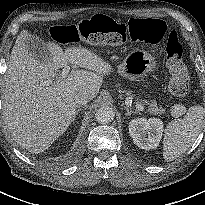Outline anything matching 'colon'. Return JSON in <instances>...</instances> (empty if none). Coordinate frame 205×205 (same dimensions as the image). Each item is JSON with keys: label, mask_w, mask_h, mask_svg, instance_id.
<instances>
[{"label": "colon", "mask_w": 205, "mask_h": 205, "mask_svg": "<svg viewBox=\"0 0 205 205\" xmlns=\"http://www.w3.org/2000/svg\"><path fill=\"white\" fill-rule=\"evenodd\" d=\"M165 30L164 22L158 18H132L125 26L104 14H95L77 25L55 24L49 28V34L56 42L64 45L85 42L118 47L128 41L157 44L163 39ZM166 61L170 71L171 93L180 98L187 96L189 74L183 62V50L176 31H172L168 37Z\"/></svg>", "instance_id": "colon-1"}]
</instances>
